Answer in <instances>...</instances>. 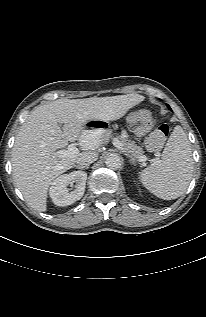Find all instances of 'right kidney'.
<instances>
[{"label":"right kidney","instance_id":"ca27d5eb","mask_svg":"<svg viewBox=\"0 0 206 317\" xmlns=\"http://www.w3.org/2000/svg\"><path fill=\"white\" fill-rule=\"evenodd\" d=\"M86 179L87 173L84 171H73L56 178L49 190L53 203L57 206H67L80 200L85 191ZM73 183L75 189L69 192L67 186Z\"/></svg>","mask_w":206,"mask_h":317}]
</instances>
